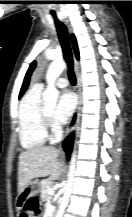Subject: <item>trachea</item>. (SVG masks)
Instances as JSON below:
<instances>
[{"mask_svg":"<svg viewBox=\"0 0 132 217\" xmlns=\"http://www.w3.org/2000/svg\"><path fill=\"white\" fill-rule=\"evenodd\" d=\"M54 21H55V25L57 28V33H58V37H59V41L63 50V55H64V59L68 65V77L70 80V83L72 85L76 84V78H75V74L73 71V60H72V52H71V48H70V43H69V37H68V32L66 29V26L57 19L56 15L53 13L52 14Z\"/></svg>","mask_w":132,"mask_h":217,"instance_id":"3493384b","label":"trachea"}]
</instances>
